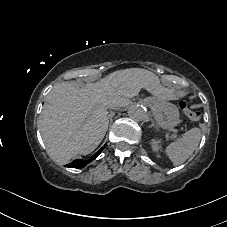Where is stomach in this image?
Segmentation results:
<instances>
[{
	"label": "stomach",
	"instance_id": "0dacf381",
	"mask_svg": "<svg viewBox=\"0 0 227 227\" xmlns=\"http://www.w3.org/2000/svg\"><path fill=\"white\" fill-rule=\"evenodd\" d=\"M157 124L163 129L174 128L179 123V110L176 105L156 99L147 98Z\"/></svg>",
	"mask_w": 227,
	"mask_h": 227
}]
</instances>
